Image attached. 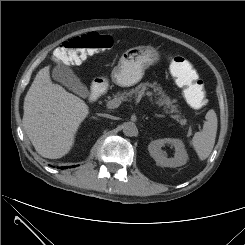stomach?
<instances>
[{
	"label": "stomach",
	"mask_w": 245,
	"mask_h": 245,
	"mask_svg": "<svg viewBox=\"0 0 245 245\" xmlns=\"http://www.w3.org/2000/svg\"><path fill=\"white\" fill-rule=\"evenodd\" d=\"M160 59L159 52L152 46H137L125 51L118 65L111 72V79L122 87L139 82L145 70Z\"/></svg>",
	"instance_id": "0dacf381"
}]
</instances>
